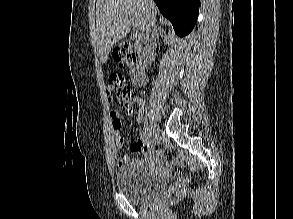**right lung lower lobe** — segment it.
I'll list each match as a JSON object with an SVG mask.
<instances>
[{"mask_svg": "<svg viewBox=\"0 0 293 219\" xmlns=\"http://www.w3.org/2000/svg\"><path fill=\"white\" fill-rule=\"evenodd\" d=\"M161 13L170 20L175 33L183 37L194 28L199 0H154Z\"/></svg>", "mask_w": 293, "mask_h": 219, "instance_id": "right-lung-lower-lobe-1", "label": "right lung lower lobe"}]
</instances>
